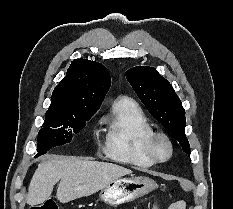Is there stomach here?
<instances>
[{
	"label": "stomach",
	"mask_w": 233,
	"mask_h": 209,
	"mask_svg": "<svg viewBox=\"0 0 233 209\" xmlns=\"http://www.w3.org/2000/svg\"><path fill=\"white\" fill-rule=\"evenodd\" d=\"M157 188L156 182L144 176L120 177L99 193V199L110 206L131 202Z\"/></svg>",
	"instance_id": "obj_1"
}]
</instances>
